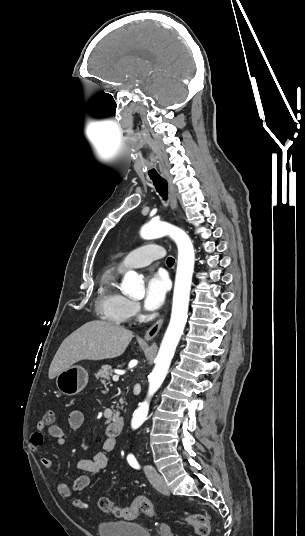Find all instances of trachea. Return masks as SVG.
<instances>
[{
	"label": "trachea",
	"mask_w": 305,
	"mask_h": 536,
	"mask_svg": "<svg viewBox=\"0 0 305 536\" xmlns=\"http://www.w3.org/2000/svg\"><path fill=\"white\" fill-rule=\"evenodd\" d=\"M151 180L153 181L154 186H155L157 192L159 193V195L162 197V199L164 201H167L168 200V183L165 180V178L153 177V178H151ZM166 263H167L168 266L171 267L175 263V260H174V258L169 257L167 259Z\"/></svg>",
	"instance_id": "3493384b"
}]
</instances>
